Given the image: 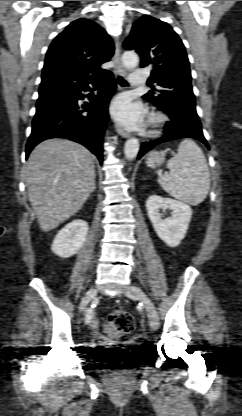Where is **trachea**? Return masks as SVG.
<instances>
[{"label":"trachea","instance_id":"obj_1","mask_svg":"<svg viewBox=\"0 0 242 416\" xmlns=\"http://www.w3.org/2000/svg\"><path fill=\"white\" fill-rule=\"evenodd\" d=\"M117 79H118V82L121 86H127L128 85V82L124 78H122L121 76H118Z\"/></svg>","mask_w":242,"mask_h":416}]
</instances>
